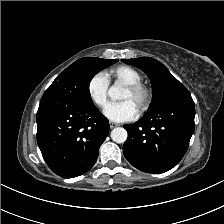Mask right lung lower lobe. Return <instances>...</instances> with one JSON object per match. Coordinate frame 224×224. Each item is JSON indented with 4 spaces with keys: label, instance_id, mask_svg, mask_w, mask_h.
<instances>
[{
    "label": "right lung lower lobe",
    "instance_id": "obj_1",
    "mask_svg": "<svg viewBox=\"0 0 224 224\" xmlns=\"http://www.w3.org/2000/svg\"><path fill=\"white\" fill-rule=\"evenodd\" d=\"M37 142L49 168L64 178L87 172L96 162L108 120L94 104L44 93L37 111Z\"/></svg>",
    "mask_w": 224,
    "mask_h": 224
}]
</instances>
